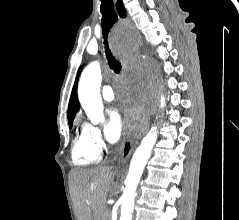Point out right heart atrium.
<instances>
[{
	"label": "right heart atrium",
	"mask_w": 239,
	"mask_h": 220,
	"mask_svg": "<svg viewBox=\"0 0 239 220\" xmlns=\"http://www.w3.org/2000/svg\"><path fill=\"white\" fill-rule=\"evenodd\" d=\"M84 127L86 135L92 146L100 153L105 151L107 149V145L102 137L100 128L90 123L85 124Z\"/></svg>",
	"instance_id": "1"
}]
</instances>
